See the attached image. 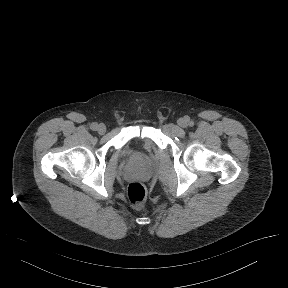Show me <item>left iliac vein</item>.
Instances as JSON below:
<instances>
[{"label": "left iliac vein", "instance_id": "left-iliac-vein-1", "mask_svg": "<svg viewBox=\"0 0 288 288\" xmlns=\"http://www.w3.org/2000/svg\"><path fill=\"white\" fill-rule=\"evenodd\" d=\"M177 123L182 128H186L188 126V120L186 118H179Z\"/></svg>", "mask_w": 288, "mask_h": 288}]
</instances>
